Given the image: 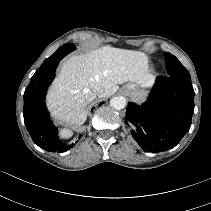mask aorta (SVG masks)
Listing matches in <instances>:
<instances>
[{
  "label": "aorta",
  "mask_w": 211,
  "mask_h": 211,
  "mask_svg": "<svg viewBox=\"0 0 211 211\" xmlns=\"http://www.w3.org/2000/svg\"><path fill=\"white\" fill-rule=\"evenodd\" d=\"M110 105L116 110H121L125 108L126 100L124 97L121 96L113 97L110 100Z\"/></svg>",
  "instance_id": "aorta-1"
}]
</instances>
